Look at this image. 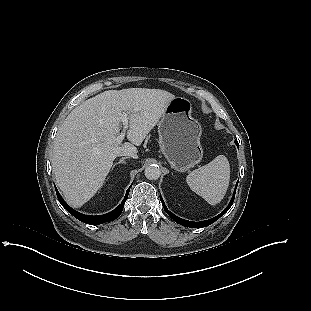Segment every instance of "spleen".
<instances>
[{
	"mask_svg": "<svg viewBox=\"0 0 311 311\" xmlns=\"http://www.w3.org/2000/svg\"><path fill=\"white\" fill-rule=\"evenodd\" d=\"M230 181V165L224 155H218L208 164L193 170L186 182L196 194L210 205H216L224 198Z\"/></svg>",
	"mask_w": 311,
	"mask_h": 311,
	"instance_id": "3e777b00",
	"label": "spleen"
}]
</instances>
